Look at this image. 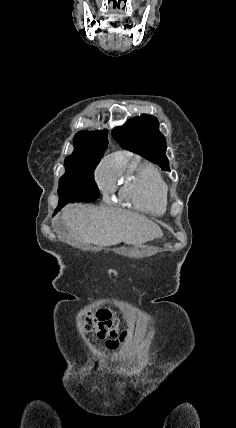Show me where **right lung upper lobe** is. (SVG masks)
Wrapping results in <instances>:
<instances>
[{
  "mask_svg": "<svg viewBox=\"0 0 236 428\" xmlns=\"http://www.w3.org/2000/svg\"><path fill=\"white\" fill-rule=\"evenodd\" d=\"M107 130L81 131L74 137L72 155L65 159V167H96L107 148Z\"/></svg>",
  "mask_w": 236,
  "mask_h": 428,
  "instance_id": "cb5924a9",
  "label": "right lung upper lobe"
}]
</instances>
